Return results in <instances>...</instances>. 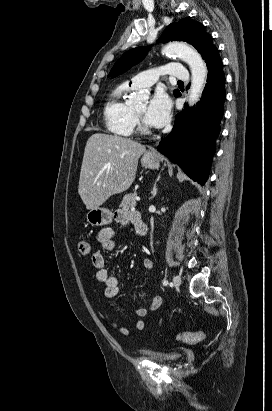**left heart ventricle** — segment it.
<instances>
[{
	"instance_id": "b2bd125f",
	"label": "left heart ventricle",
	"mask_w": 272,
	"mask_h": 411,
	"mask_svg": "<svg viewBox=\"0 0 272 411\" xmlns=\"http://www.w3.org/2000/svg\"><path fill=\"white\" fill-rule=\"evenodd\" d=\"M134 110L143 120L144 119V114H145V111H146V104L139 105V106L135 107Z\"/></svg>"
}]
</instances>
